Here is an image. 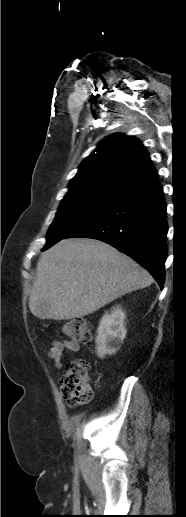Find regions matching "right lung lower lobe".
I'll use <instances>...</instances> for the list:
<instances>
[{
  "label": "right lung lower lobe",
  "mask_w": 186,
  "mask_h": 517,
  "mask_svg": "<svg viewBox=\"0 0 186 517\" xmlns=\"http://www.w3.org/2000/svg\"><path fill=\"white\" fill-rule=\"evenodd\" d=\"M167 232L163 188L157 182L118 199L66 238H94L110 244L144 267L162 289Z\"/></svg>",
  "instance_id": "obj_1"
}]
</instances>
